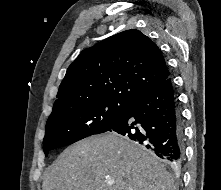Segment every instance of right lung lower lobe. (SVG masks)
<instances>
[{
    "mask_svg": "<svg viewBox=\"0 0 221 190\" xmlns=\"http://www.w3.org/2000/svg\"><path fill=\"white\" fill-rule=\"evenodd\" d=\"M144 145L176 168L184 156L183 123L169 77L127 103L121 120L110 130Z\"/></svg>",
    "mask_w": 221,
    "mask_h": 190,
    "instance_id": "right-lung-lower-lobe-1",
    "label": "right lung lower lobe"
}]
</instances>
